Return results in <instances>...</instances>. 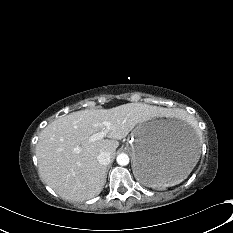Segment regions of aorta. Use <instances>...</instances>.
<instances>
[{"label":"aorta","instance_id":"aorta-1","mask_svg":"<svg viewBox=\"0 0 233 233\" xmlns=\"http://www.w3.org/2000/svg\"><path fill=\"white\" fill-rule=\"evenodd\" d=\"M116 161L121 166H126L129 164V157L125 153H121L117 156Z\"/></svg>","mask_w":233,"mask_h":233}]
</instances>
